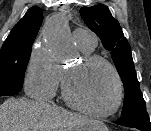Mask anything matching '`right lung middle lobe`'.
<instances>
[{"instance_id":"right-lung-middle-lobe-1","label":"right lung middle lobe","mask_w":151,"mask_h":131,"mask_svg":"<svg viewBox=\"0 0 151 131\" xmlns=\"http://www.w3.org/2000/svg\"><path fill=\"white\" fill-rule=\"evenodd\" d=\"M31 45L2 46L0 51V96L21 91Z\"/></svg>"}]
</instances>
